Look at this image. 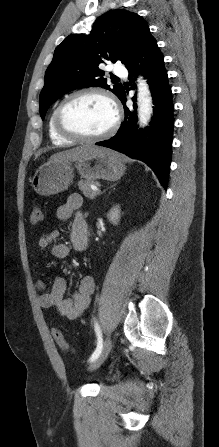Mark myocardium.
I'll return each mask as SVG.
<instances>
[{"label": "myocardium", "mask_w": 219, "mask_h": 447, "mask_svg": "<svg viewBox=\"0 0 219 447\" xmlns=\"http://www.w3.org/2000/svg\"><path fill=\"white\" fill-rule=\"evenodd\" d=\"M85 95H97L105 99L112 107L114 112V118L112 124L109 126L107 130L104 132L97 134V135H86L83 133H80L78 131H75L73 129H70L66 126L63 120V114L67 106L73 102L75 99L85 96ZM121 120V112L119 109V106L117 102L114 100V98L109 94L108 92L99 89V88H84L80 89L78 91H75L68 95L64 100L61 101V103L58 105V107L55 110L54 114V126L56 131L61 134L62 136L76 140V141H82V142H95L100 141L106 138H109L112 136L116 130L119 127Z\"/></svg>", "instance_id": "obj_1"}]
</instances>
